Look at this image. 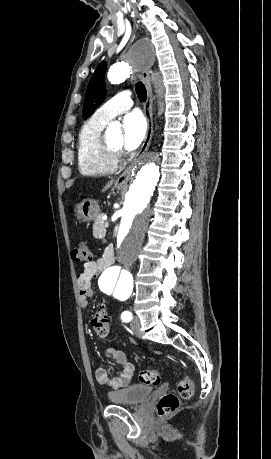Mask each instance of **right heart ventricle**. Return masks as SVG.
Returning <instances> with one entry per match:
<instances>
[{
    "label": "right heart ventricle",
    "mask_w": 271,
    "mask_h": 459,
    "mask_svg": "<svg viewBox=\"0 0 271 459\" xmlns=\"http://www.w3.org/2000/svg\"><path fill=\"white\" fill-rule=\"evenodd\" d=\"M105 125V122L92 116L78 132L76 165L79 174L84 177L109 174L118 166V161L109 157L102 147L101 134Z\"/></svg>",
    "instance_id": "obj_1"
}]
</instances>
